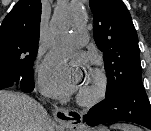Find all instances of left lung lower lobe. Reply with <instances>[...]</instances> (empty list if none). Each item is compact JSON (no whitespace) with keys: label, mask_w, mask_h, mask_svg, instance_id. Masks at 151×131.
I'll use <instances>...</instances> for the list:
<instances>
[{"label":"left lung lower lobe","mask_w":151,"mask_h":131,"mask_svg":"<svg viewBox=\"0 0 151 131\" xmlns=\"http://www.w3.org/2000/svg\"><path fill=\"white\" fill-rule=\"evenodd\" d=\"M83 121L89 126L126 121L151 130V105L142 80H132L93 106Z\"/></svg>","instance_id":"1"}]
</instances>
